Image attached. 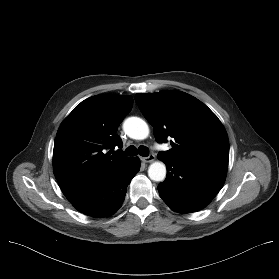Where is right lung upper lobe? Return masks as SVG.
Here are the masks:
<instances>
[{
    "label": "right lung upper lobe",
    "instance_id": "right-lung-upper-lobe-1",
    "mask_svg": "<svg viewBox=\"0 0 279 279\" xmlns=\"http://www.w3.org/2000/svg\"><path fill=\"white\" fill-rule=\"evenodd\" d=\"M132 105L130 95L93 96L61 123L54 142L53 172L64 194L102 181L132 160L114 153L122 147L117 128Z\"/></svg>",
    "mask_w": 279,
    "mask_h": 279
}]
</instances>
